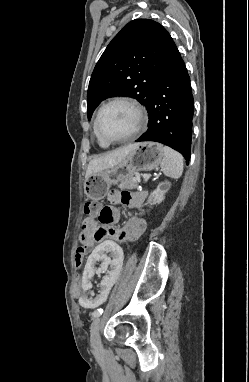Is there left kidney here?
<instances>
[{"mask_svg": "<svg viewBox=\"0 0 249 382\" xmlns=\"http://www.w3.org/2000/svg\"><path fill=\"white\" fill-rule=\"evenodd\" d=\"M170 187L171 183L165 181L160 183L157 189L150 190L151 196L148 200L151 207H156V202L161 203L164 200V195ZM99 244L95 245V250H92L82 273L78 295L80 309L104 307L105 298L111 292V287H117L115 277L122 272V245H116L115 240H100ZM100 277H104L103 280H100Z\"/></svg>", "mask_w": 249, "mask_h": 382, "instance_id": "5707ae66", "label": "left kidney"}]
</instances>
